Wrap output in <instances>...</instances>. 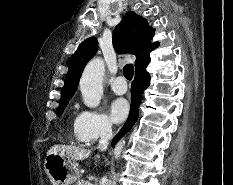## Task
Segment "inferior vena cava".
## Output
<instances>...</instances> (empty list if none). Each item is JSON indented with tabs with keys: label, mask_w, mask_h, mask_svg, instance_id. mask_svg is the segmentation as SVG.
I'll return each instance as SVG.
<instances>
[{
	"label": "inferior vena cava",
	"mask_w": 233,
	"mask_h": 185,
	"mask_svg": "<svg viewBox=\"0 0 233 185\" xmlns=\"http://www.w3.org/2000/svg\"><path fill=\"white\" fill-rule=\"evenodd\" d=\"M111 137H112V127L111 124L107 123L103 126L98 144V149H100L101 151H105L108 147V142L111 139ZM99 184L108 185L107 177L106 176L102 177Z\"/></svg>",
	"instance_id": "obj_1"
}]
</instances>
